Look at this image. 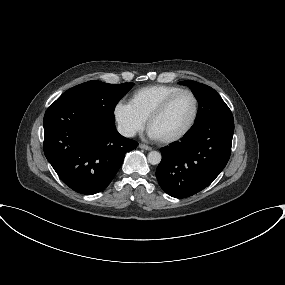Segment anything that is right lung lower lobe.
<instances>
[{
    "label": "right lung lower lobe",
    "instance_id": "obj_1",
    "mask_svg": "<svg viewBox=\"0 0 285 285\" xmlns=\"http://www.w3.org/2000/svg\"><path fill=\"white\" fill-rule=\"evenodd\" d=\"M43 123L47 160L69 188L85 195L105 189L125 153L138 146L120 135L114 123L67 103L55 101Z\"/></svg>",
    "mask_w": 285,
    "mask_h": 285
}]
</instances>
